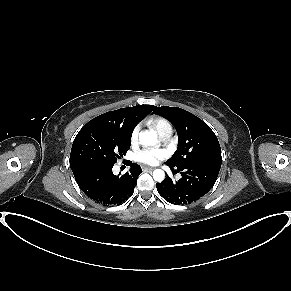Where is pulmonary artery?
Listing matches in <instances>:
<instances>
[{"instance_id":"pulmonary-artery-1","label":"pulmonary artery","mask_w":291,"mask_h":291,"mask_svg":"<svg viewBox=\"0 0 291 291\" xmlns=\"http://www.w3.org/2000/svg\"><path fill=\"white\" fill-rule=\"evenodd\" d=\"M160 139L164 142H167L171 136H172V128L167 127L165 129H163L160 133H159Z\"/></svg>"}]
</instances>
